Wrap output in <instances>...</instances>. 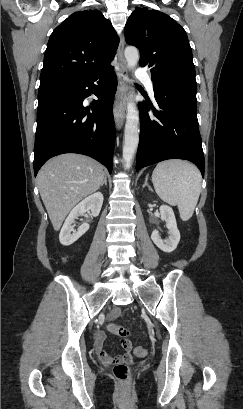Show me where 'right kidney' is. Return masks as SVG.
Wrapping results in <instances>:
<instances>
[{
  "instance_id": "ca27d5eb",
  "label": "right kidney",
  "mask_w": 243,
  "mask_h": 409,
  "mask_svg": "<svg viewBox=\"0 0 243 409\" xmlns=\"http://www.w3.org/2000/svg\"><path fill=\"white\" fill-rule=\"evenodd\" d=\"M103 200V194L101 192H96L82 200L77 206L72 209V211L66 218L59 234V241L62 245L69 246L73 244L88 231L89 224L83 223L78 228L77 232L71 234L72 224L74 223L76 218L83 215L87 211H91V214L94 217H97L101 211Z\"/></svg>"
}]
</instances>
